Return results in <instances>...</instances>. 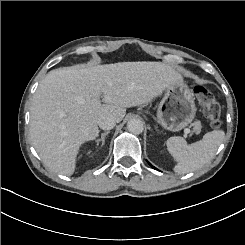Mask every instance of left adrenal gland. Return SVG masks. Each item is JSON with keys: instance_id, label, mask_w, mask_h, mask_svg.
Wrapping results in <instances>:
<instances>
[{"instance_id": "a2214340", "label": "left adrenal gland", "mask_w": 245, "mask_h": 245, "mask_svg": "<svg viewBox=\"0 0 245 245\" xmlns=\"http://www.w3.org/2000/svg\"><path fill=\"white\" fill-rule=\"evenodd\" d=\"M154 129L156 130L157 133H161L157 126H154Z\"/></svg>"}]
</instances>
